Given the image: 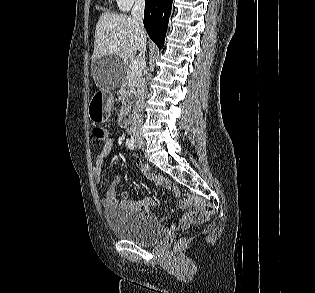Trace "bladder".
I'll return each mask as SVG.
<instances>
[{
  "instance_id": "1",
  "label": "bladder",
  "mask_w": 315,
  "mask_h": 293,
  "mask_svg": "<svg viewBox=\"0 0 315 293\" xmlns=\"http://www.w3.org/2000/svg\"><path fill=\"white\" fill-rule=\"evenodd\" d=\"M104 216L112 233L139 245L155 243L163 234L159 223L150 215L126 203H117L105 210Z\"/></svg>"
}]
</instances>
